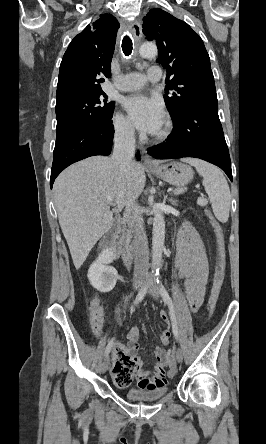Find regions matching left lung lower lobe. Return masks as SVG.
Wrapping results in <instances>:
<instances>
[{
  "label": "left lung lower lobe",
  "mask_w": 266,
  "mask_h": 444,
  "mask_svg": "<svg viewBox=\"0 0 266 444\" xmlns=\"http://www.w3.org/2000/svg\"><path fill=\"white\" fill-rule=\"evenodd\" d=\"M173 133L149 151L156 159L195 157L220 167L232 181L231 161L218 116V103H200L173 119Z\"/></svg>",
  "instance_id": "0a47b994"
}]
</instances>
